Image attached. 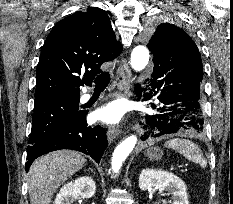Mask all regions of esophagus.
I'll return each instance as SVG.
<instances>
[{
	"mask_svg": "<svg viewBox=\"0 0 233 204\" xmlns=\"http://www.w3.org/2000/svg\"><path fill=\"white\" fill-rule=\"evenodd\" d=\"M131 78V69L125 59H122L116 75V82L120 91L126 92ZM119 135V130L115 127H109L107 139L111 143Z\"/></svg>",
	"mask_w": 233,
	"mask_h": 204,
	"instance_id": "obj_1",
	"label": "esophagus"
}]
</instances>
